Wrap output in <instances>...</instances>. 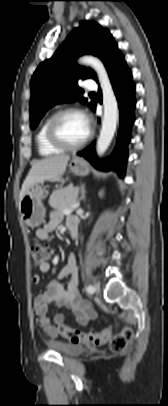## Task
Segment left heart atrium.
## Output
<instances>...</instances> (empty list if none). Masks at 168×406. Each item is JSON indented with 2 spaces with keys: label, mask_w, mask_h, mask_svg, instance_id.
Returning a JSON list of instances; mask_svg holds the SVG:
<instances>
[{
  "label": "left heart atrium",
  "mask_w": 168,
  "mask_h": 406,
  "mask_svg": "<svg viewBox=\"0 0 168 406\" xmlns=\"http://www.w3.org/2000/svg\"><path fill=\"white\" fill-rule=\"evenodd\" d=\"M84 118H85V123H86V126H87L88 130H90L89 120L85 116H84Z\"/></svg>",
  "instance_id": "obj_1"
}]
</instances>
